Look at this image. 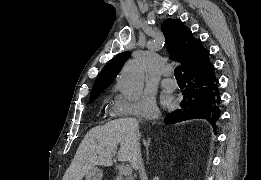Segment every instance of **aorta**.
Instances as JSON below:
<instances>
[{
  "mask_svg": "<svg viewBox=\"0 0 261 180\" xmlns=\"http://www.w3.org/2000/svg\"><path fill=\"white\" fill-rule=\"evenodd\" d=\"M145 65L137 59L127 62L122 68L118 80L121 93L129 100L136 101L144 86Z\"/></svg>",
  "mask_w": 261,
  "mask_h": 180,
  "instance_id": "1",
  "label": "aorta"
}]
</instances>
